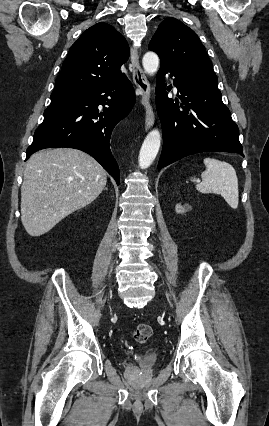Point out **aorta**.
<instances>
[{
  "mask_svg": "<svg viewBox=\"0 0 269 426\" xmlns=\"http://www.w3.org/2000/svg\"><path fill=\"white\" fill-rule=\"evenodd\" d=\"M145 72L153 75L159 66V57L155 52H147L142 59ZM161 144V135L158 129L150 131L140 149L139 166L141 169L148 168L155 160Z\"/></svg>",
  "mask_w": 269,
  "mask_h": 426,
  "instance_id": "obj_1",
  "label": "aorta"
}]
</instances>
